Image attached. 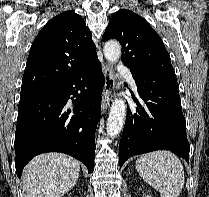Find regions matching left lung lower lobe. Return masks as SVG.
<instances>
[{
	"instance_id": "1",
	"label": "left lung lower lobe",
	"mask_w": 209,
	"mask_h": 197,
	"mask_svg": "<svg viewBox=\"0 0 209 197\" xmlns=\"http://www.w3.org/2000/svg\"><path fill=\"white\" fill-rule=\"evenodd\" d=\"M134 80L144 102H137L135 110L127 107L119 145L120 167L129 157L154 150H170L188 161L190 144L178 84Z\"/></svg>"
}]
</instances>
